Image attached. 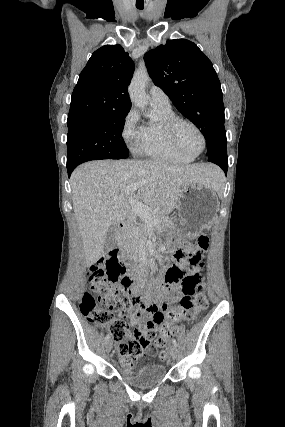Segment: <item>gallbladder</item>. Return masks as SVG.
<instances>
[{"instance_id":"bac80fb5","label":"gallbladder","mask_w":285,"mask_h":427,"mask_svg":"<svg viewBox=\"0 0 285 427\" xmlns=\"http://www.w3.org/2000/svg\"><path fill=\"white\" fill-rule=\"evenodd\" d=\"M115 245H116V234H115V230H114L113 226H111L108 229L106 237H105L104 246H103L104 252L106 253V252L114 249Z\"/></svg>"}]
</instances>
